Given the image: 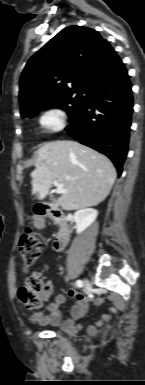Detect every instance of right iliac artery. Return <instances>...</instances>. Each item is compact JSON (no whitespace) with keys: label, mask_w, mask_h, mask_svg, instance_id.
I'll return each instance as SVG.
<instances>
[{"label":"right iliac artery","mask_w":145,"mask_h":385,"mask_svg":"<svg viewBox=\"0 0 145 385\" xmlns=\"http://www.w3.org/2000/svg\"><path fill=\"white\" fill-rule=\"evenodd\" d=\"M76 286H77V287H82V286H83L82 281H81V280H77V281H76Z\"/></svg>","instance_id":"82829eb1"}]
</instances>
